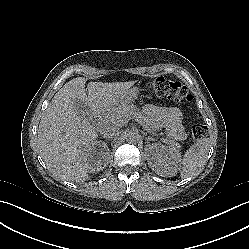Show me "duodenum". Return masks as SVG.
I'll use <instances>...</instances> for the list:
<instances>
[{"mask_svg":"<svg viewBox=\"0 0 249 249\" xmlns=\"http://www.w3.org/2000/svg\"><path fill=\"white\" fill-rule=\"evenodd\" d=\"M101 120H102V122H105V120H106V116H105V115H103Z\"/></svg>","mask_w":249,"mask_h":249,"instance_id":"410a0bca","label":"duodenum"}]
</instances>
